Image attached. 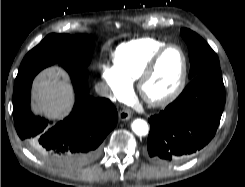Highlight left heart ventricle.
Wrapping results in <instances>:
<instances>
[{"label":"left heart ventricle","mask_w":245,"mask_h":187,"mask_svg":"<svg viewBox=\"0 0 245 187\" xmlns=\"http://www.w3.org/2000/svg\"><path fill=\"white\" fill-rule=\"evenodd\" d=\"M182 70V57L177 49L168 50L158 63L157 69L146 85V93L160 98L176 85Z\"/></svg>","instance_id":"b2bd125f"}]
</instances>
